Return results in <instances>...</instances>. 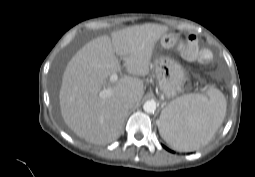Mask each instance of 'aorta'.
<instances>
[{"instance_id":"1","label":"aorta","mask_w":255,"mask_h":177,"mask_svg":"<svg viewBox=\"0 0 255 177\" xmlns=\"http://www.w3.org/2000/svg\"><path fill=\"white\" fill-rule=\"evenodd\" d=\"M143 109L147 113H154L156 110V102L153 100H148L144 103Z\"/></svg>"}]
</instances>
